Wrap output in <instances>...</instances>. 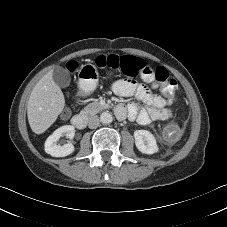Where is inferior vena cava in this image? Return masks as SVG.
Segmentation results:
<instances>
[{"label":"inferior vena cava","mask_w":227,"mask_h":227,"mask_svg":"<svg viewBox=\"0 0 227 227\" xmlns=\"http://www.w3.org/2000/svg\"><path fill=\"white\" fill-rule=\"evenodd\" d=\"M99 123H100V120H99L98 116H96V115L91 116L88 119V126L91 129L97 128Z\"/></svg>","instance_id":"1"}]
</instances>
